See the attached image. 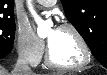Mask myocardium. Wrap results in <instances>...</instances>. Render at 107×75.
Here are the masks:
<instances>
[{"label":"myocardium","mask_w":107,"mask_h":75,"mask_svg":"<svg viewBox=\"0 0 107 75\" xmlns=\"http://www.w3.org/2000/svg\"><path fill=\"white\" fill-rule=\"evenodd\" d=\"M58 30H66L70 31L74 34V36L77 38L78 42L80 43L83 53H84V58L83 60L75 65H61L57 62L52 57L50 47L47 48V53H46V63L47 65L55 70L59 71H74V70H80L84 67H86L92 59V52L90 49V46L88 42L86 41L85 37L83 34L76 28L74 25L69 24V23H64L59 26Z\"/></svg>","instance_id":"1"}]
</instances>
